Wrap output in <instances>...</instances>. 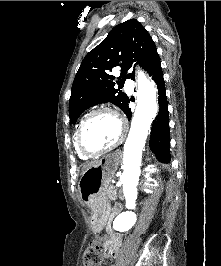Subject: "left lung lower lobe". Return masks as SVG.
Masks as SVG:
<instances>
[{"instance_id":"0a47b994","label":"left lung lower lobe","mask_w":221,"mask_h":266,"mask_svg":"<svg viewBox=\"0 0 221 266\" xmlns=\"http://www.w3.org/2000/svg\"><path fill=\"white\" fill-rule=\"evenodd\" d=\"M154 82L157 84L158 89V104L159 112L156 116L150 134V149L156 154L159 161L164 163L170 162L169 143V118H168V103L165 92V83L163 79V72L161 68V62L155 65L149 72ZM130 100L123 112L126 114L128 119H131L132 112L129 108Z\"/></svg>"}]
</instances>
